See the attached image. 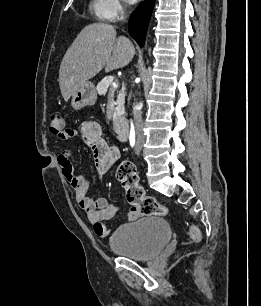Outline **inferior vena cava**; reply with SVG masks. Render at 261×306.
Returning <instances> with one entry per match:
<instances>
[{
  "instance_id": "obj_1",
  "label": "inferior vena cava",
  "mask_w": 261,
  "mask_h": 306,
  "mask_svg": "<svg viewBox=\"0 0 261 306\" xmlns=\"http://www.w3.org/2000/svg\"><path fill=\"white\" fill-rule=\"evenodd\" d=\"M133 117H134L136 131L140 136H142L143 135L142 113L136 107H134L133 109Z\"/></svg>"
}]
</instances>
